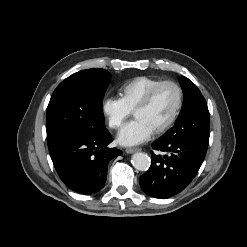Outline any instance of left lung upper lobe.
I'll list each match as a JSON object with an SVG mask.
<instances>
[{
  "mask_svg": "<svg viewBox=\"0 0 247 247\" xmlns=\"http://www.w3.org/2000/svg\"><path fill=\"white\" fill-rule=\"evenodd\" d=\"M184 103L175 125L169 129L162 139L188 138L198 142H209V111L200 90L187 77L179 78Z\"/></svg>",
  "mask_w": 247,
  "mask_h": 247,
  "instance_id": "left-lung-upper-lobe-1",
  "label": "left lung upper lobe"
}]
</instances>
